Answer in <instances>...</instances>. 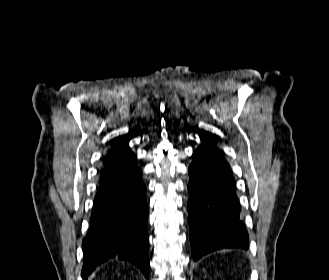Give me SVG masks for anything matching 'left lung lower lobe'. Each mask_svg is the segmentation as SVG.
Listing matches in <instances>:
<instances>
[{"label":"left lung lower lobe","mask_w":329,"mask_h":280,"mask_svg":"<svg viewBox=\"0 0 329 280\" xmlns=\"http://www.w3.org/2000/svg\"><path fill=\"white\" fill-rule=\"evenodd\" d=\"M188 223L192 257L224 248H249L247 230L240 218L236 183L230 166L216 146L194 153L188 168Z\"/></svg>","instance_id":"obj_1"}]
</instances>
